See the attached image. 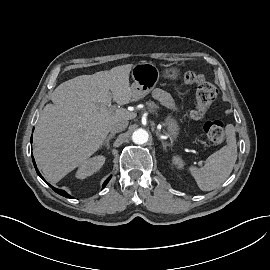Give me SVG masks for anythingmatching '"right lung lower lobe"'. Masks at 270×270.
<instances>
[{
  "mask_svg": "<svg viewBox=\"0 0 270 270\" xmlns=\"http://www.w3.org/2000/svg\"><path fill=\"white\" fill-rule=\"evenodd\" d=\"M31 142H32V137H31ZM32 160H33V164H34V167H35V169H36L37 174L44 180V178L42 177V175L40 174V172L38 171V169H37V167H36L35 160H34L33 156H32ZM110 178H111V176L108 177L107 180L104 182L103 188L107 185V183L109 182ZM44 181H45V180H44ZM49 186H51V185L49 184ZM51 188H52L56 193H58V194H60V195H62V196H64V197L72 198V197H71L68 193H66L64 190L57 189V188H55V187H53V186H51Z\"/></svg>",
  "mask_w": 270,
  "mask_h": 270,
  "instance_id": "obj_1",
  "label": "right lung lower lobe"
}]
</instances>
